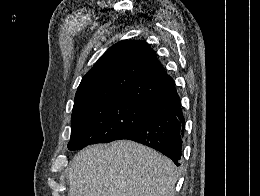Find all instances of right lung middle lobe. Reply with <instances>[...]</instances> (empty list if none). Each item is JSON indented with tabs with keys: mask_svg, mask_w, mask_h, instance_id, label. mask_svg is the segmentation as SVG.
Instances as JSON below:
<instances>
[{
	"mask_svg": "<svg viewBox=\"0 0 260 196\" xmlns=\"http://www.w3.org/2000/svg\"><path fill=\"white\" fill-rule=\"evenodd\" d=\"M151 117L141 104L119 99L74 106L68 149L117 140Z\"/></svg>",
	"mask_w": 260,
	"mask_h": 196,
	"instance_id": "dd1d6c3e",
	"label": "right lung middle lobe"
}]
</instances>
